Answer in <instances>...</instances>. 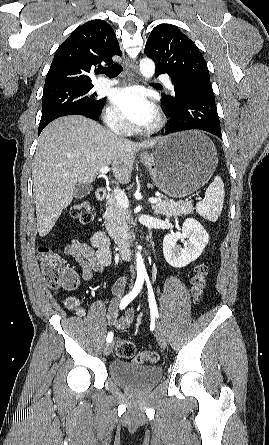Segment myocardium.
<instances>
[{
    "instance_id": "obj_1",
    "label": "myocardium",
    "mask_w": 269,
    "mask_h": 445,
    "mask_svg": "<svg viewBox=\"0 0 269 445\" xmlns=\"http://www.w3.org/2000/svg\"><path fill=\"white\" fill-rule=\"evenodd\" d=\"M163 125L162 118L160 116H157L154 122L144 130L145 133H154L158 131Z\"/></svg>"
}]
</instances>
